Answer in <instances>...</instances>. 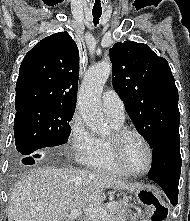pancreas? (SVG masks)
Instances as JSON below:
<instances>
[{
    "instance_id": "pancreas-1",
    "label": "pancreas",
    "mask_w": 190,
    "mask_h": 221,
    "mask_svg": "<svg viewBox=\"0 0 190 221\" xmlns=\"http://www.w3.org/2000/svg\"><path fill=\"white\" fill-rule=\"evenodd\" d=\"M117 206L107 208L108 204L102 205L100 208L106 209L109 215V221H125L128 218L127 215V202L118 201ZM89 221H104L102 218H93Z\"/></svg>"
}]
</instances>
